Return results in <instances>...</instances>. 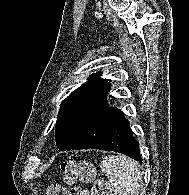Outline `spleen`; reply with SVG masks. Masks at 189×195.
<instances>
[{
	"mask_svg": "<svg viewBox=\"0 0 189 195\" xmlns=\"http://www.w3.org/2000/svg\"><path fill=\"white\" fill-rule=\"evenodd\" d=\"M101 170L108 177L114 195H139L142 172L137 162L125 155L105 156Z\"/></svg>",
	"mask_w": 189,
	"mask_h": 195,
	"instance_id": "1",
	"label": "spleen"
}]
</instances>
